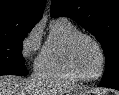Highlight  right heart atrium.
Instances as JSON below:
<instances>
[{
  "instance_id": "d8ad5b80",
  "label": "right heart atrium",
  "mask_w": 119,
  "mask_h": 95,
  "mask_svg": "<svg viewBox=\"0 0 119 95\" xmlns=\"http://www.w3.org/2000/svg\"><path fill=\"white\" fill-rule=\"evenodd\" d=\"M42 28L40 24L34 25L24 36L21 44V53L25 59H30L40 48Z\"/></svg>"
}]
</instances>
